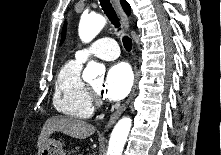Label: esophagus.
Wrapping results in <instances>:
<instances>
[{"label":"esophagus","mask_w":221,"mask_h":155,"mask_svg":"<svg viewBox=\"0 0 221 155\" xmlns=\"http://www.w3.org/2000/svg\"><path fill=\"white\" fill-rule=\"evenodd\" d=\"M117 11H118V14L121 18V21L124 25V27L129 30V27H130V24H129V18L127 17V15L125 14L124 10L122 9L121 7V4H120V1L119 0H112ZM135 84H134V87H133V90L129 96V98L111 115L107 125H106V130H108L109 128L112 127V125L116 122V120L121 116V114L126 110L128 104L130 103L131 99L133 98L134 96V92H135V89H136V84H137V80H138V77H139V73H138V69H137V66L135 65Z\"/></svg>","instance_id":"1"}]
</instances>
